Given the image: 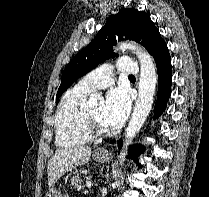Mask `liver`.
<instances>
[{"instance_id":"liver-1","label":"liver","mask_w":209,"mask_h":197,"mask_svg":"<svg viewBox=\"0 0 209 197\" xmlns=\"http://www.w3.org/2000/svg\"><path fill=\"white\" fill-rule=\"evenodd\" d=\"M91 153V148L85 146L57 149L48 161L47 174L49 187H52L69 170L87 163L90 160Z\"/></svg>"}]
</instances>
